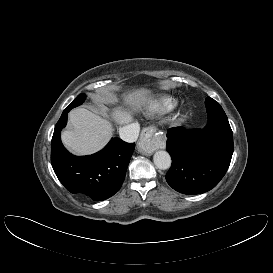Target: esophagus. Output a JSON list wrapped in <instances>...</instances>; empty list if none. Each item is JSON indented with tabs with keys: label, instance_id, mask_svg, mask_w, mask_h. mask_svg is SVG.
I'll return each mask as SVG.
<instances>
[{
	"label": "esophagus",
	"instance_id": "34e87169",
	"mask_svg": "<svg viewBox=\"0 0 273 273\" xmlns=\"http://www.w3.org/2000/svg\"><path fill=\"white\" fill-rule=\"evenodd\" d=\"M154 127H146L142 130L140 140L138 142V151L144 155H150L155 150L165 148V138L156 133Z\"/></svg>",
	"mask_w": 273,
	"mask_h": 273
}]
</instances>
